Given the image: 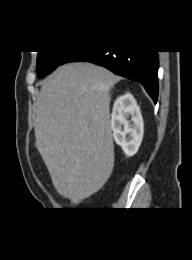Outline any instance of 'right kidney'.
Listing matches in <instances>:
<instances>
[{
    "mask_svg": "<svg viewBox=\"0 0 192 260\" xmlns=\"http://www.w3.org/2000/svg\"><path fill=\"white\" fill-rule=\"evenodd\" d=\"M131 116L132 123L127 120ZM143 118L136 100L131 94L116 99L111 115V129L115 142L127 156L137 153L144 132Z\"/></svg>",
    "mask_w": 192,
    "mask_h": 260,
    "instance_id": "1",
    "label": "right kidney"
}]
</instances>
